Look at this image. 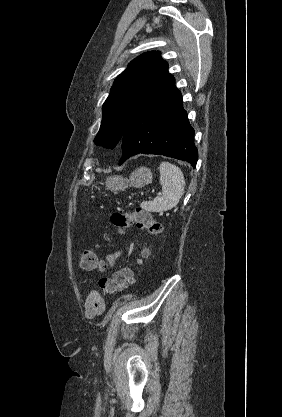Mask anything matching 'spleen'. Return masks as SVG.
Here are the masks:
<instances>
[{"label": "spleen", "instance_id": "spleen-1", "mask_svg": "<svg viewBox=\"0 0 282 417\" xmlns=\"http://www.w3.org/2000/svg\"><path fill=\"white\" fill-rule=\"evenodd\" d=\"M162 194L155 196L154 200H143L142 209L149 213H163L170 211L178 204L185 188L184 174L176 164L161 162L159 166Z\"/></svg>", "mask_w": 282, "mask_h": 417}]
</instances>
